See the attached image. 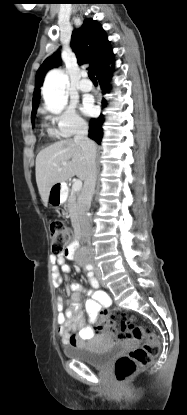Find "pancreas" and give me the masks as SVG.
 Here are the masks:
<instances>
[{"instance_id": "cf45deb5", "label": "pancreas", "mask_w": 187, "mask_h": 415, "mask_svg": "<svg viewBox=\"0 0 187 415\" xmlns=\"http://www.w3.org/2000/svg\"><path fill=\"white\" fill-rule=\"evenodd\" d=\"M65 207L67 208L69 212V216L71 218V222L73 226L77 225L78 220V212H77V203H76V195L73 191H71L67 203L65 204Z\"/></svg>"}]
</instances>
